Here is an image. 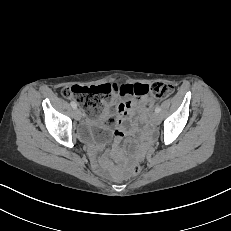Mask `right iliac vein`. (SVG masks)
<instances>
[{
	"instance_id": "1",
	"label": "right iliac vein",
	"mask_w": 231,
	"mask_h": 231,
	"mask_svg": "<svg viewBox=\"0 0 231 231\" xmlns=\"http://www.w3.org/2000/svg\"><path fill=\"white\" fill-rule=\"evenodd\" d=\"M74 117H75L76 120H80L82 118V113H81L80 109L76 108L74 110Z\"/></svg>"
}]
</instances>
